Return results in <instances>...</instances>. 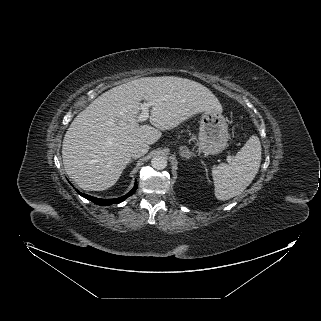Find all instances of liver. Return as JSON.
I'll return each mask as SVG.
<instances>
[{"mask_svg":"<svg viewBox=\"0 0 321 321\" xmlns=\"http://www.w3.org/2000/svg\"><path fill=\"white\" fill-rule=\"evenodd\" d=\"M142 100L154 102L152 126L138 124ZM208 110L221 111L219 100L207 87L186 78L144 77L116 86L71 123L62 145L65 171L84 190H106L131 161L132 145L154 144L161 131Z\"/></svg>","mask_w":321,"mask_h":321,"instance_id":"1","label":"liver"}]
</instances>
